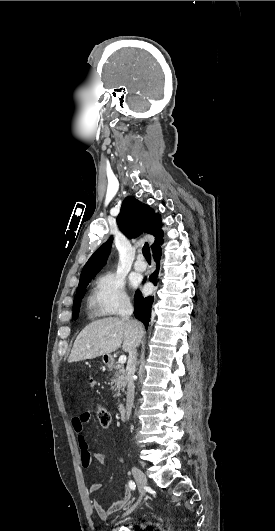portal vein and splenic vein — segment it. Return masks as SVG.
<instances>
[{
	"label": "portal vein and splenic vein",
	"instance_id": "portal-vein-and-splenic-vein-1",
	"mask_svg": "<svg viewBox=\"0 0 275 531\" xmlns=\"http://www.w3.org/2000/svg\"><path fill=\"white\" fill-rule=\"evenodd\" d=\"M126 361H127L126 355H121V357H119V359H118V363H120V365H124V363H126Z\"/></svg>",
	"mask_w": 275,
	"mask_h": 531
}]
</instances>
